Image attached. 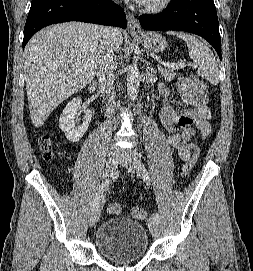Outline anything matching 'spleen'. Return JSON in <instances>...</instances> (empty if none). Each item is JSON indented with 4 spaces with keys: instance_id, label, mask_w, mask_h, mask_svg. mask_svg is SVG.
I'll return each mask as SVG.
<instances>
[{
    "instance_id": "spleen-1",
    "label": "spleen",
    "mask_w": 253,
    "mask_h": 271,
    "mask_svg": "<svg viewBox=\"0 0 253 271\" xmlns=\"http://www.w3.org/2000/svg\"><path fill=\"white\" fill-rule=\"evenodd\" d=\"M168 35H176L186 42L190 58L198 65V74L212 84L219 82L218 64L211 50L196 37L184 33L168 31Z\"/></svg>"
}]
</instances>
